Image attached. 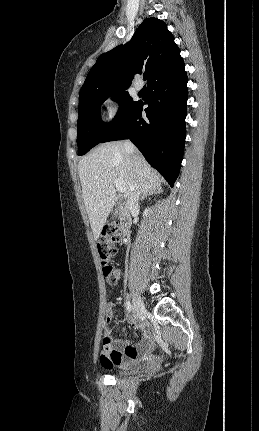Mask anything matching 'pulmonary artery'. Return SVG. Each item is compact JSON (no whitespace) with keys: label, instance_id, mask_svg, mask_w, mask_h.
Wrapping results in <instances>:
<instances>
[{"label":"pulmonary artery","instance_id":"e3ab8cb5","mask_svg":"<svg viewBox=\"0 0 259 431\" xmlns=\"http://www.w3.org/2000/svg\"><path fill=\"white\" fill-rule=\"evenodd\" d=\"M134 87L137 91H140L143 88V83L140 79H137L134 83Z\"/></svg>","mask_w":259,"mask_h":431}]
</instances>
